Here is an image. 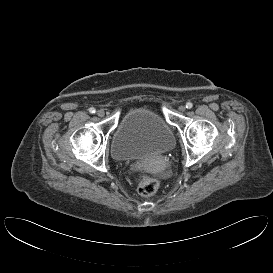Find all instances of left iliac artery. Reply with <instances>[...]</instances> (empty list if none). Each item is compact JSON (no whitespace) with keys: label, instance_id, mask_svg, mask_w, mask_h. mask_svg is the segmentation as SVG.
<instances>
[{"label":"left iliac artery","instance_id":"1","mask_svg":"<svg viewBox=\"0 0 273 273\" xmlns=\"http://www.w3.org/2000/svg\"><path fill=\"white\" fill-rule=\"evenodd\" d=\"M193 107V104L191 102L186 103V108L191 109Z\"/></svg>","mask_w":273,"mask_h":273}]
</instances>
